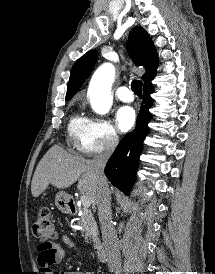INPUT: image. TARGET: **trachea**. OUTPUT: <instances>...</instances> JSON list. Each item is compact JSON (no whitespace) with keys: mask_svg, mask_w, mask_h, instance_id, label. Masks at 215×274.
<instances>
[{"mask_svg":"<svg viewBox=\"0 0 215 274\" xmlns=\"http://www.w3.org/2000/svg\"><path fill=\"white\" fill-rule=\"evenodd\" d=\"M131 88L133 92L139 97L142 96V82L139 80H133L131 83Z\"/></svg>","mask_w":215,"mask_h":274,"instance_id":"trachea-1","label":"trachea"}]
</instances>
